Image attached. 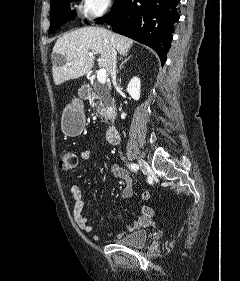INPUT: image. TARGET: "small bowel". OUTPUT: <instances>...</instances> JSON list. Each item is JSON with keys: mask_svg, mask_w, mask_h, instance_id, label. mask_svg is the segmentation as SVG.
Wrapping results in <instances>:
<instances>
[{"mask_svg": "<svg viewBox=\"0 0 240 281\" xmlns=\"http://www.w3.org/2000/svg\"><path fill=\"white\" fill-rule=\"evenodd\" d=\"M92 155L93 151L91 149H86L82 151L80 155L82 163H87L91 159ZM110 172L113 176L125 181L126 185L121 192V197L124 200L129 199L132 196V179L130 177L129 172L117 164H113L110 167ZM70 192L74 200L72 213L75 223L84 233L92 234L94 231V227L89 224L87 216H85L83 213L84 202L82 199L81 189L77 185H73L70 188ZM141 196L143 199H148L150 195L148 192H143ZM111 216L115 217V215L113 214H111ZM152 216L153 209L151 207L147 205L141 206L139 217L134 222L127 225L125 230L120 233L119 236L132 233L142 227L147 226L150 223ZM93 237L95 240H101L105 237V235L95 234Z\"/></svg>", "mask_w": 240, "mask_h": 281, "instance_id": "c3829d8e", "label": "small bowel"}]
</instances>
